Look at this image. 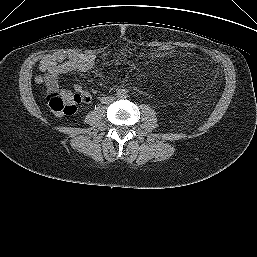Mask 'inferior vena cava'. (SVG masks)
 Wrapping results in <instances>:
<instances>
[{
  "instance_id": "obj_1",
  "label": "inferior vena cava",
  "mask_w": 257,
  "mask_h": 257,
  "mask_svg": "<svg viewBox=\"0 0 257 257\" xmlns=\"http://www.w3.org/2000/svg\"><path fill=\"white\" fill-rule=\"evenodd\" d=\"M113 100H114L113 97H105V98L102 99V102H103V103H110V102H112Z\"/></svg>"
}]
</instances>
